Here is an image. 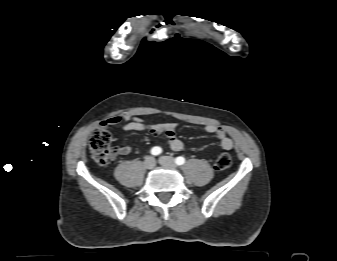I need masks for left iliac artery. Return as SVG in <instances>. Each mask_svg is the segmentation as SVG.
I'll return each mask as SVG.
<instances>
[{"mask_svg":"<svg viewBox=\"0 0 337 261\" xmlns=\"http://www.w3.org/2000/svg\"><path fill=\"white\" fill-rule=\"evenodd\" d=\"M175 163H176L177 165H183V164L185 163V158L182 157V156H179V157H177V158L175 159Z\"/></svg>","mask_w":337,"mask_h":261,"instance_id":"44dca946","label":"left iliac artery"}]
</instances>
